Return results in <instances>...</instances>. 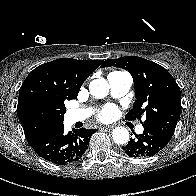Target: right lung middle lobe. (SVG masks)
<instances>
[{
  "label": "right lung middle lobe",
  "mask_w": 196,
  "mask_h": 196,
  "mask_svg": "<svg viewBox=\"0 0 196 196\" xmlns=\"http://www.w3.org/2000/svg\"><path fill=\"white\" fill-rule=\"evenodd\" d=\"M65 113V105L62 104V107H61V114L63 115Z\"/></svg>",
  "instance_id": "right-lung-middle-lobe-1"
}]
</instances>
